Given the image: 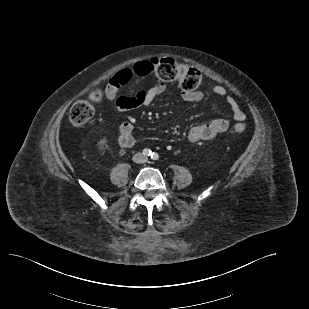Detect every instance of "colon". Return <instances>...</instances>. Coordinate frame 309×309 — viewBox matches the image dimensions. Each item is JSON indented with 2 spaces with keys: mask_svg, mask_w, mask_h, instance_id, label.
Listing matches in <instances>:
<instances>
[{
  "mask_svg": "<svg viewBox=\"0 0 309 309\" xmlns=\"http://www.w3.org/2000/svg\"><path fill=\"white\" fill-rule=\"evenodd\" d=\"M156 76L167 82H177L183 91H195L202 85V75L194 67L180 63L173 58H160L150 61ZM102 99L99 90L93 91L88 100H80L73 104L70 109L69 119L72 124L82 126L88 123L95 114L94 104ZM234 131L242 133L245 131L243 123H236Z\"/></svg>",
  "mask_w": 309,
  "mask_h": 309,
  "instance_id": "5ec220e1",
  "label": "colon"
}]
</instances>
